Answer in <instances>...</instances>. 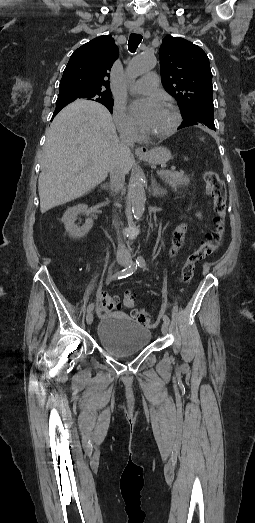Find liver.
<instances>
[{"label":"liver","mask_w":255,"mask_h":523,"mask_svg":"<svg viewBox=\"0 0 255 523\" xmlns=\"http://www.w3.org/2000/svg\"><path fill=\"white\" fill-rule=\"evenodd\" d=\"M120 144L112 116L102 104L76 100L63 108L46 132L38 180L41 214L101 184ZM133 164V158L126 162V174Z\"/></svg>","instance_id":"1"}]
</instances>
